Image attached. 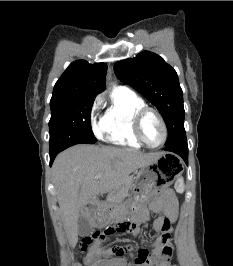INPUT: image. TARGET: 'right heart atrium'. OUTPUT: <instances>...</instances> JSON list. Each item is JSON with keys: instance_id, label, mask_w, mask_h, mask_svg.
Instances as JSON below:
<instances>
[{"instance_id": "obj_1", "label": "right heart atrium", "mask_w": 233, "mask_h": 266, "mask_svg": "<svg viewBox=\"0 0 233 266\" xmlns=\"http://www.w3.org/2000/svg\"><path fill=\"white\" fill-rule=\"evenodd\" d=\"M101 98L98 97L92 106L91 110V126L92 130L96 136H101L104 133L105 126L103 123V118H98V110L101 106Z\"/></svg>"}]
</instances>
